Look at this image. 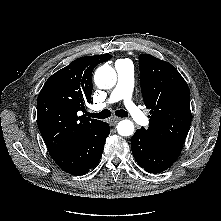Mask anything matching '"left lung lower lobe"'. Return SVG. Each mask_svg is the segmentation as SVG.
<instances>
[{
	"instance_id": "left-lung-lower-lobe-1",
	"label": "left lung lower lobe",
	"mask_w": 221,
	"mask_h": 221,
	"mask_svg": "<svg viewBox=\"0 0 221 221\" xmlns=\"http://www.w3.org/2000/svg\"><path fill=\"white\" fill-rule=\"evenodd\" d=\"M131 149L139 166L150 173H160L168 169L181 153L163 147L140 129L132 137Z\"/></svg>"
}]
</instances>
